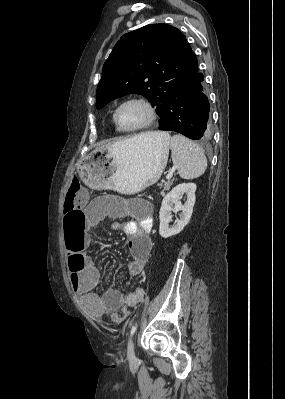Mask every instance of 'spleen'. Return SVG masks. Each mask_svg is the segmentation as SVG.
<instances>
[{
	"mask_svg": "<svg viewBox=\"0 0 285 399\" xmlns=\"http://www.w3.org/2000/svg\"><path fill=\"white\" fill-rule=\"evenodd\" d=\"M171 157L174 167L183 179H194L204 174L207 159L203 149L184 137L176 134L170 140Z\"/></svg>",
	"mask_w": 285,
	"mask_h": 399,
	"instance_id": "3e777b00",
	"label": "spleen"
}]
</instances>
